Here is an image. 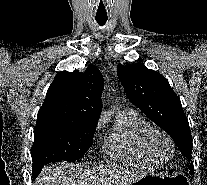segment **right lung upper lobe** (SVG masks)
Here are the masks:
<instances>
[{"label":"right lung upper lobe","instance_id":"obj_1","mask_svg":"<svg viewBox=\"0 0 207 185\" xmlns=\"http://www.w3.org/2000/svg\"><path fill=\"white\" fill-rule=\"evenodd\" d=\"M102 89L103 76L94 65L83 73L62 71L50 85L37 117L96 126L102 110Z\"/></svg>","mask_w":207,"mask_h":185}]
</instances>
